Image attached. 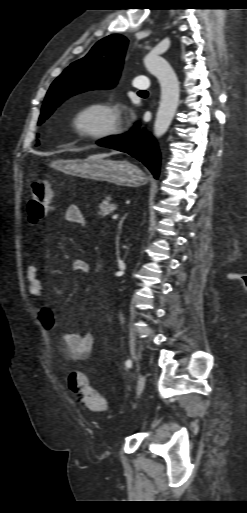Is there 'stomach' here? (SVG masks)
Listing matches in <instances>:
<instances>
[{"label": "stomach", "instance_id": "1", "mask_svg": "<svg viewBox=\"0 0 247 513\" xmlns=\"http://www.w3.org/2000/svg\"><path fill=\"white\" fill-rule=\"evenodd\" d=\"M49 166L68 174L120 186L136 187L145 182L142 170L125 160L107 158L55 160Z\"/></svg>", "mask_w": 247, "mask_h": 513}]
</instances>
